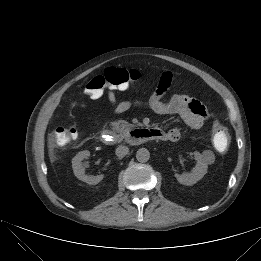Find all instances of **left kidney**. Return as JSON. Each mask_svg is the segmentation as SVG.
Here are the masks:
<instances>
[{
    "label": "left kidney",
    "mask_w": 261,
    "mask_h": 261,
    "mask_svg": "<svg viewBox=\"0 0 261 261\" xmlns=\"http://www.w3.org/2000/svg\"><path fill=\"white\" fill-rule=\"evenodd\" d=\"M193 154L196 160V165L193 168L192 172L188 174L174 175L178 182L183 185L191 186L201 180L207 173L208 165L203 156L197 151H195Z\"/></svg>",
    "instance_id": "5707ae66"
}]
</instances>
